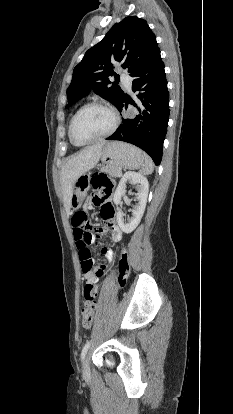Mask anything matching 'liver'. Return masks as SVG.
I'll use <instances>...</instances> for the list:
<instances>
[{
	"label": "liver",
	"mask_w": 233,
	"mask_h": 414,
	"mask_svg": "<svg viewBox=\"0 0 233 414\" xmlns=\"http://www.w3.org/2000/svg\"><path fill=\"white\" fill-rule=\"evenodd\" d=\"M106 142H99L82 149L64 164L60 173L63 201L66 213L70 214L73 189L78 179L99 162Z\"/></svg>",
	"instance_id": "6515ba94"
}]
</instances>
